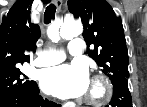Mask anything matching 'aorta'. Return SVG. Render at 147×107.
<instances>
[{
  "mask_svg": "<svg viewBox=\"0 0 147 107\" xmlns=\"http://www.w3.org/2000/svg\"><path fill=\"white\" fill-rule=\"evenodd\" d=\"M82 32L83 26L81 22L73 19H67L60 26L59 37L62 39H72L74 37L81 35Z\"/></svg>",
  "mask_w": 147,
  "mask_h": 107,
  "instance_id": "aorta-1",
  "label": "aorta"
}]
</instances>
